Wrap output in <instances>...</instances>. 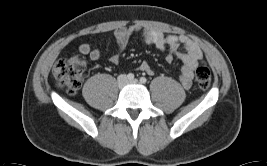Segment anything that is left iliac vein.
<instances>
[{
    "instance_id": "1",
    "label": "left iliac vein",
    "mask_w": 267,
    "mask_h": 166,
    "mask_svg": "<svg viewBox=\"0 0 267 166\" xmlns=\"http://www.w3.org/2000/svg\"><path fill=\"white\" fill-rule=\"evenodd\" d=\"M128 83H130V84H138V80L137 79H132V80L128 81Z\"/></svg>"
}]
</instances>
